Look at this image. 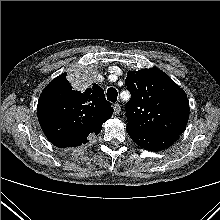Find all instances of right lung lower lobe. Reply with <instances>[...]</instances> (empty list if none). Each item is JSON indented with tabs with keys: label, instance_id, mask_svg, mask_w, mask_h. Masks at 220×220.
<instances>
[{
	"label": "right lung lower lobe",
	"instance_id": "right-lung-lower-lobe-1",
	"mask_svg": "<svg viewBox=\"0 0 220 220\" xmlns=\"http://www.w3.org/2000/svg\"><path fill=\"white\" fill-rule=\"evenodd\" d=\"M101 129H102V127H101L100 129H98L96 132H94V134H99V132L101 131ZM86 142H87V138L84 139V140H82V141H80V142H78V143H76V144H74V145H71V146H69V147L81 145L82 143H86Z\"/></svg>",
	"mask_w": 220,
	"mask_h": 220
}]
</instances>
